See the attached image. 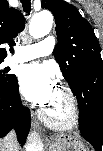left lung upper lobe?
Returning <instances> with one entry per match:
<instances>
[{
	"instance_id": "5c2ea615",
	"label": "left lung upper lobe",
	"mask_w": 103,
	"mask_h": 151,
	"mask_svg": "<svg viewBox=\"0 0 103 151\" xmlns=\"http://www.w3.org/2000/svg\"><path fill=\"white\" fill-rule=\"evenodd\" d=\"M42 8L50 10L55 17L58 43L54 56L69 85L87 75L91 65L102 66L94 31L72 4L63 0H42Z\"/></svg>"
}]
</instances>
